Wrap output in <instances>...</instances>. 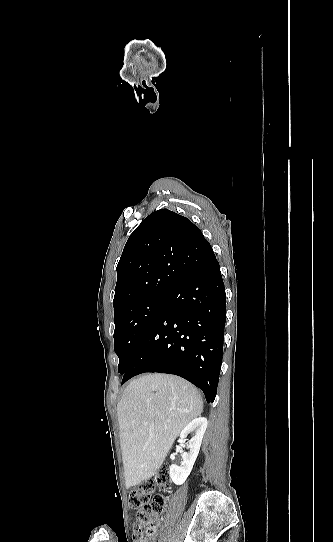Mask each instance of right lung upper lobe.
<instances>
[{
    "label": "right lung upper lobe",
    "mask_w": 333,
    "mask_h": 542,
    "mask_svg": "<svg viewBox=\"0 0 333 542\" xmlns=\"http://www.w3.org/2000/svg\"><path fill=\"white\" fill-rule=\"evenodd\" d=\"M208 245L201 230L175 212L160 209L147 216L130 235L117 265L114 315L169 292L184 279V272L162 259V252H192Z\"/></svg>",
    "instance_id": "obj_1"
}]
</instances>
